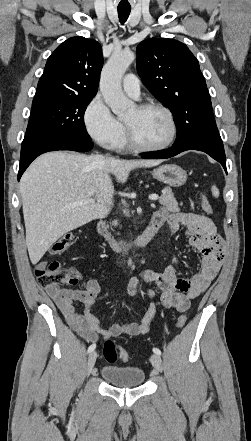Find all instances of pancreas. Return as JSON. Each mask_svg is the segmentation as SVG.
Segmentation results:
<instances>
[{"label":"pancreas","mask_w":251,"mask_h":441,"mask_svg":"<svg viewBox=\"0 0 251 441\" xmlns=\"http://www.w3.org/2000/svg\"><path fill=\"white\" fill-rule=\"evenodd\" d=\"M160 204L164 206V208L170 212H179L180 208L178 206V203L174 197V194L170 187H165L163 189V194L159 198ZM118 223L117 221L113 222V225L116 226Z\"/></svg>","instance_id":"obj_1"}]
</instances>
